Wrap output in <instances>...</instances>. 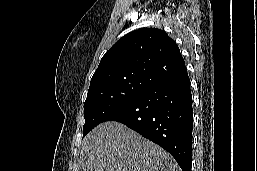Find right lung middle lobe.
<instances>
[{"mask_svg":"<svg viewBox=\"0 0 257 171\" xmlns=\"http://www.w3.org/2000/svg\"><path fill=\"white\" fill-rule=\"evenodd\" d=\"M147 87L142 83H115L89 89L84 106L83 137Z\"/></svg>","mask_w":257,"mask_h":171,"instance_id":"1","label":"right lung middle lobe"}]
</instances>
